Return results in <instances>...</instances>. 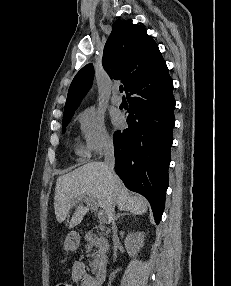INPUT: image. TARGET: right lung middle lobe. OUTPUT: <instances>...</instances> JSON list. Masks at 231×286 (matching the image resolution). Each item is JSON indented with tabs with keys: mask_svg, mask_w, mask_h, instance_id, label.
<instances>
[{
	"mask_svg": "<svg viewBox=\"0 0 231 286\" xmlns=\"http://www.w3.org/2000/svg\"><path fill=\"white\" fill-rule=\"evenodd\" d=\"M73 114H74V113H70V114H67V115L63 116V132L65 131L66 126H67L68 123L70 122V120H71Z\"/></svg>",
	"mask_w": 231,
	"mask_h": 286,
	"instance_id": "dd1d6c3e",
	"label": "right lung middle lobe"
}]
</instances>
